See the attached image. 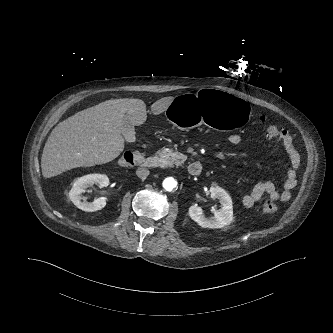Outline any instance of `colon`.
I'll use <instances>...</instances> for the list:
<instances>
[{
	"label": "colon",
	"mask_w": 333,
	"mask_h": 333,
	"mask_svg": "<svg viewBox=\"0 0 333 333\" xmlns=\"http://www.w3.org/2000/svg\"><path fill=\"white\" fill-rule=\"evenodd\" d=\"M262 122L265 124L264 129L268 138L278 139L280 136V129L274 125L266 123V119L263 118ZM143 153L140 151H127L119 159V165L121 166H133L140 163L143 160ZM277 210L276 203L273 199L268 198L262 205L261 213L263 215L273 214Z\"/></svg>",
	"instance_id": "5ec220e1"
}]
</instances>
